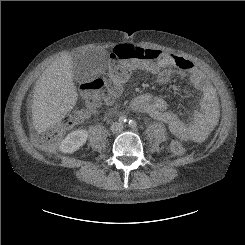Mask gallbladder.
<instances>
[{
  "instance_id": "gallbladder-1",
  "label": "gallbladder",
  "mask_w": 245,
  "mask_h": 245,
  "mask_svg": "<svg viewBox=\"0 0 245 245\" xmlns=\"http://www.w3.org/2000/svg\"><path fill=\"white\" fill-rule=\"evenodd\" d=\"M74 71H75L76 78L78 79L79 68L76 62L74 63Z\"/></svg>"
}]
</instances>
